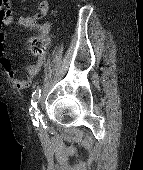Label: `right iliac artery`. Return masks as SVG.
<instances>
[{"mask_svg":"<svg viewBox=\"0 0 143 170\" xmlns=\"http://www.w3.org/2000/svg\"><path fill=\"white\" fill-rule=\"evenodd\" d=\"M40 96H41V89L40 87H37V89L33 92L32 94V99H31V108H30V115L33 117V118H38V109H37V104L39 102V99H40ZM33 125L34 126H38V122L33 119Z\"/></svg>","mask_w":143,"mask_h":170,"instance_id":"obj_1","label":"right iliac artery"}]
</instances>
